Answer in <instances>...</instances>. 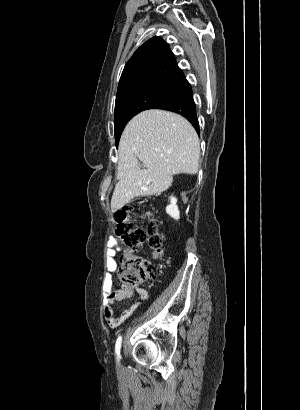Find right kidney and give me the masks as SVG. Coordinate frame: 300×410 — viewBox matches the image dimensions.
Returning <instances> with one entry per match:
<instances>
[{
    "mask_svg": "<svg viewBox=\"0 0 300 410\" xmlns=\"http://www.w3.org/2000/svg\"><path fill=\"white\" fill-rule=\"evenodd\" d=\"M166 212L175 220H178L180 218L177 199L174 196H170V204L166 207Z\"/></svg>",
    "mask_w": 300,
    "mask_h": 410,
    "instance_id": "obj_1",
    "label": "right kidney"
}]
</instances>
